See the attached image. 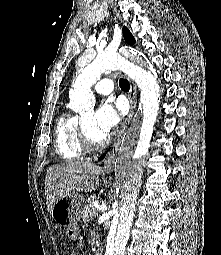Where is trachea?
<instances>
[{
    "label": "trachea",
    "mask_w": 221,
    "mask_h": 255,
    "mask_svg": "<svg viewBox=\"0 0 221 255\" xmlns=\"http://www.w3.org/2000/svg\"><path fill=\"white\" fill-rule=\"evenodd\" d=\"M119 86H120V88H121L123 91H129V89H130V84H129L128 80L123 79V78H121V79L119 80Z\"/></svg>",
    "instance_id": "obj_1"
}]
</instances>
